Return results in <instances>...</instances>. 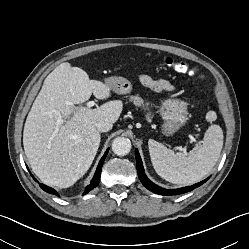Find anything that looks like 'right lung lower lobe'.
<instances>
[{"label": "right lung lower lobe", "instance_id": "right-lung-lower-lobe-1", "mask_svg": "<svg viewBox=\"0 0 249 249\" xmlns=\"http://www.w3.org/2000/svg\"><path fill=\"white\" fill-rule=\"evenodd\" d=\"M108 151H109V149L106 150L105 154H104L103 157L101 158V160H100V162H99V164H98L97 170H96V172H95V175H94V177H93L91 183L86 187L84 194H87L89 191H91L92 189H94V188L99 184V182H100V176H101L102 165H103V162H104V160H105V158H106V156H107ZM32 177H33V176H32ZM33 179H34L35 181H37L34 177H33ZM40 187H41L44 191H46V192H48V193L58 195L57 192H56L54 189H52V188H50V187H48V186H46V185H44V184H40Z\"/></svg>", "mask_w": 249, "mask_h": 249}]
</instances>
